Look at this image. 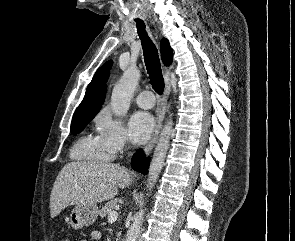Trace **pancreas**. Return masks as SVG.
<instances>
[{
    "mask_svg": "<svg viewBox=\"0 0 295 241\" xmlns=\"http://www.w3.org/2000/svg\"><path fill=\"white\" fill-rule=\"evenodd\" d=\"M116 204H117L116 200H110L109 202H107L99 211L100 217L104 218L107 215H109V213L113 211V209L115 208Z\"/></svg>",
    "mask_w": 295,
    "mask_h": 241,
    "instance_id": "obj_1",
    "label": "pancreas"
}]
</instances>
